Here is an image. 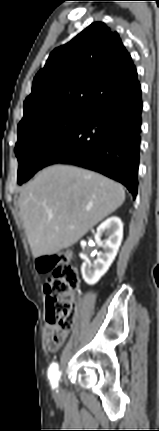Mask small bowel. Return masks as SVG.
Wrapping results in <instances>:
<instances>
[{"instance_id": "c3829d8e", "label": "small bowel", "mask_w": 159, "mask_h": 431, "mask_svg": "<svg viewBox=\"0 0 159 431\" xmlns=\"http://www.w3.org/2000/svg\"><path fill=\"white\" fill-rule=\"evenodd\" d=\"M67 337V331L57 324L47 323L44 329L45 343L50 352H56Z\"/></svg>"}]
</instances>
